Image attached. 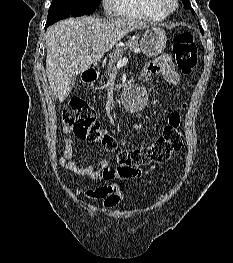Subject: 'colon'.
Instances as JSON below:
<instances>
[{"label":"colon","mask_w":233,"mask_h":263,"mask_svg":"<svg viewBox=\"0 0 233 263\" xmlns=\"http://www.w3.org/2000/svg\"><path fill=\"white\" fill-rule=\"evenodd\" d=\"M172 48L179 70L185 74L191 73L197 64V48L192 34L184 31L175 35ZM62 121L77 138L92 144L100 143L107 152L115 153L118 170L124 175L136 176L143 166L168 161L183 143L178 111L169 115L162 134L152 144L133 149H120L117 140L101 126L95 110L81 98L71 99L64 107Z\"/></svg>","instance_id":"5ec220e1"}]
</instances>
